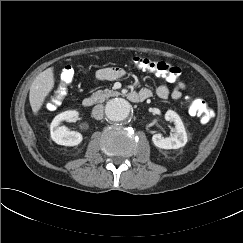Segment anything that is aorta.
I'll return each instance as SVG.
<instances>
[{"instance_id": "762f6f07", "label": "aorta", "mask_w": 243, "mask_h": 243, "mask_svg": "<svg viewBox=\"0 0 243 243\" xmlns=\"http://www.w3.org/2000/svg\"><path fill=\"white\" fill-rule=\"evenodd\" d=\"M131 111V105L122 98H115L109 101L105 107L107 118L113 122H121L125 120Z\"/></svg>"}]
</instances>
